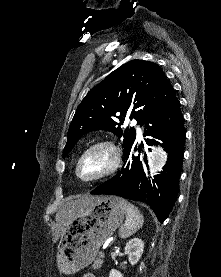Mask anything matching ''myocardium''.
Listing matches in <instances>:
<instances>
[{
  "label": "myocardium",
  "mask_w": 221,
  "mask_h": 277,
  "mask_svg": "<svg viewBox=\"0 0 221 277\" xmlns=\"http://www.w3.org/2000/svg\"><path fill=\"white\" fill-rule=\"evenodd\" d=\"M95 150L106 151L110 156L109 164L105 168V170H103L98 175L91 178H82L79 173L80 164L87 155H89ZM120 163H121L120 148L110 140H101L93 143L80 154L75 164V175L82 182H86V183L96 182L113 174L120 166Z\"/></svg>",
  "instance_id": "1"
}]
</instances>
